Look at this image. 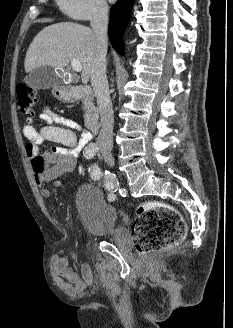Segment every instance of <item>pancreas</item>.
<instances>
[{
  "label": "pancreas",
  "instance_id": "obj_1",
  "mask_svg": "<svg viewBox=\"0 0 233 328\" xmlns=\"http://www.w3.org/2000/svg\"><path fill=\"white\" fill-rule=\"evenodd\" d=\"M82 104H83V111L96 112V107L94 106V103L91 102V100L88 96H83Z\"/></svg>",
  "mask_w": 233,
  "mask_h": 328
}]
</instances>
